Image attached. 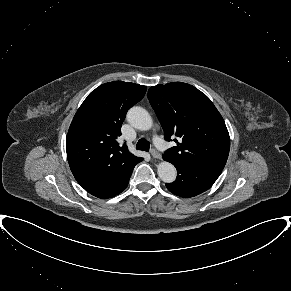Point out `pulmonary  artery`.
I'll return each mask as SVG.
<instances>
[{
    "instance_id": "e3ab8cb5",
    "label": "pulmonary artery",
    "mask_w": 291,
    "mask_h": 291,
    "mask_svg": "<svg viewBox=\"0 0 291 291\" xmlns=\"http://www.w3.org/2000/svg\"><path fill=\"white\" fill-rule=\"evenodd\" d=\"M155 143H156L157 147L161 150H165L167 148L166 144L159 138L155 139Z\"/></svg>"
}]
</instances>
